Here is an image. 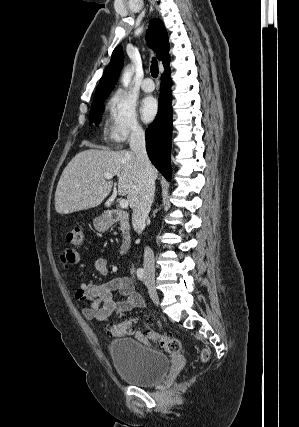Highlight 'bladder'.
I'll list each match as a JSON object with an SVG mask.
<instances>
[{
  "mask_svg": "<svg viewBox=\"0 0 299 427\" xmlns=\"http://www.w3.org/2000/svg\"><path fill=\"white\" fill-rule=\"evenodd\" d=\"M109 353L116 373L135 386L156 385L167 376L170 368L167 355L131 338L110 342Z\"/></svg>",
  "mask_w": 299,
  "mask_h": 427,
  "instance_id": "obj_1",
  "label": "bladder"
}]
</instances>
